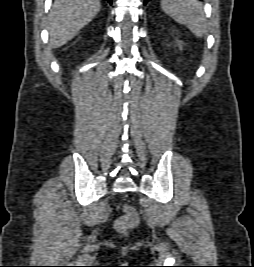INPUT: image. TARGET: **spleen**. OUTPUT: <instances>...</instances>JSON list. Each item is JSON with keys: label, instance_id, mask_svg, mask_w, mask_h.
Masks as SVG:
<instances>
[{"label": "spleen", "instance_id": "spleen-1", "mask_svg": "<svg viewBox=\"0 0 254 267\" xmlns=\"http://www.w3.org/2000/svg\"><path fill=\"white\" fill-rule=\"evenodd\" d=\"M163 11L180 24L186 25L197 37L207 34L203 4L198 0H161Z\"/></svg>", "mask_w": 254, "mask_h": 267}]
</instances>
